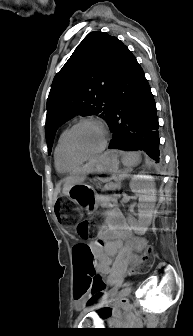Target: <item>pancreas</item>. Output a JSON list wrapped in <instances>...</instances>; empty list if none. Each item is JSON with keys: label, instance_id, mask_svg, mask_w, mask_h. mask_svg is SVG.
I'll list each match as a JSON object with an SVG mask.
<instances>
[{"label": "pancreas", "instance_id": "cf45deb5", "mask_svg": "<svg viewBox=\"0 0 193 336\" xmlns=\"http://www.w3.org/2000/svg\"><path fill=\"white\" fill-rule=\"evenodd\" d=\"M120 179L115 180V183L110 182L105 187L102 188L101 206H106V209L113 211L116 209V206L113 204L117 203V198L115 196L111 197V193L116 189V186L120 185Z\"/></svg>", "mask_w": 193, "mask_h": 336}]
</instances>
